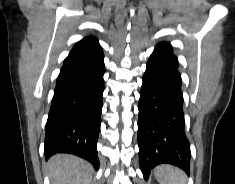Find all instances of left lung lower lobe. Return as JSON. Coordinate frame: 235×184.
I'll list each match as a JSON object with an SVG mask.
<instances>
[{"label": "left lung lower lobe", "mask_w": 235, "mask_h": 184, "mask_svg": "<svg viewBox=\"0 0 235 184\" xmlns=\"http://www.w3.org/2000/svg\"><path fill=\"white\" fill-rule=\"evenodd\" d=\"M178 67L170 43H158L147 62L138 105L139 163L146 180L150 170L163 163L190 174Z\"/></svg>", "instance_id": "left-lung-lower-lobe-1"}]
</instances>
